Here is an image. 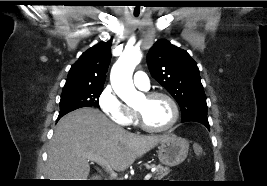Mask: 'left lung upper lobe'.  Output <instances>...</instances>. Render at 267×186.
Instances as JSON below:
<instances>
[{
  "mask_svg": "<svg viewBox=\"0 0 267 186\" xmlns=\"http://www.w3.org/2000/svg\"><path fill=\"white\" fill-rule=\"evenodd\" d=\"M152 77L178 102L182 122H208L206 95L196 62L167 40L157 41L148 53Z\"/></svg>",
  "mask_w": 267,
  "mask_h": 186,
  "instance_id": "1",
  "label": "left lung upper lobe"
}]
</instances>
